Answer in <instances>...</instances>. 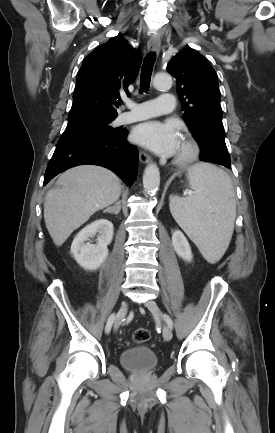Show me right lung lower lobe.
Returning <instances> with one entry per match:
<instances>
[{"mask_svg": "<svg viewBox=\"0 0 275 433\" xmlns=\"http://www.w3.org/2000/svg\"><path fill=\"white\" fill-rule=\"evenodd\" d=\"M127 134L128 131L123 129L107 137L92 135L61 137L47 166L44 185L68 168L93 164L111 169L131 186L137 174L138 151L127 142Z\"/></svg>", "mask_w": 275, "mask_h": 433, "instance_id": "98d812e1", "label": "right lung lower lobe"}]
</instances>
